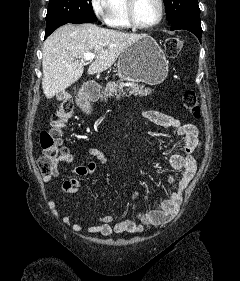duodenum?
I'll return each mask as SVG.
<instances>
[{"mask_svg": "<svg viewBox=\"0 0 240 281\" xmlns=\"http://www.w3.org/2000/svg\"><path fill=\"white\" fill-rule=\"evenodd\" d=\"M98 88L96 86H88L83 91V101H94L98 97Z\"/></svg>", "mask_w": 240, "mask_h": 281, "instance_id": "1", "label": "duodenum"}]
</instances>
